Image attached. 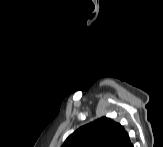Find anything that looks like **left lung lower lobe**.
<instances>
[{
    "mask_svg": "<svg viewBox=\"0 0 163 147\" xmlns=\"http://www.w3.org/2000/svg\"><path fill=\"white\" fill-rule=\"evenodd\" d=\"M116 147H133L126 131L123 133V135L120 138V140L118 141Z\"/></svg>",
    "mask_w": 163,
    "mask_h": 147,
    "instance_id": "0a47b994",
    "label": "left lung lower lobe"
}]
</instances>
